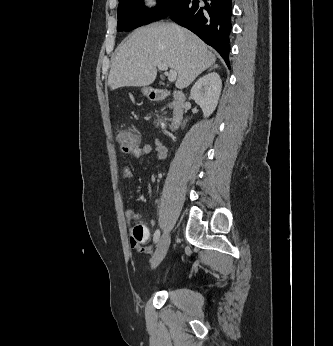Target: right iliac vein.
<instances>
[{
  "label": "right iliac vein",
  "mask_w": 333,
  "mask_h": 346,
  "mask_svg": "<svg viewBox=\"0 0 333 346\" xmlns=\"http://www.w3.org/2000/svg\"><path fill=\"white\" fill-rule=\"evenodd\" d=\"M169 245H170V235L167 231H165L159 241V244L151 260V266L153 268L157 267L163 261V259L165 258L167 254Z\"/></svg>",
  "instance_id": "63e3f726"
}]
</instances>
